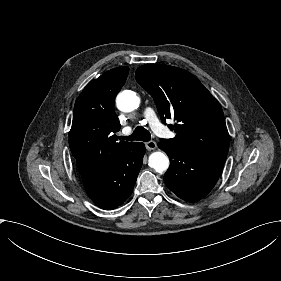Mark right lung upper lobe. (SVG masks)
Returning a JSON list of instances; mask_svg holds the SVG:
<instances>
[{
	"label": "right lung upper lobe",
	"mask_w": 281,
	"mask_h": 281,
	"mask_svg": "<svg viewBox=\"0 0 281 281\" xmlns=\"http://www.w3.org/2000/svg\"><path fill=\"white\" fill-rule=\"evenodd\" d=\"M129 68L118 67L92 80L77 98L69 146L81 177L106 168L117 161L132 142H116L120 130L114 100L124 85Z\"/></svg>",
	"instance_id": "right-lung-upper-lobe-1"
}]
</instances>
